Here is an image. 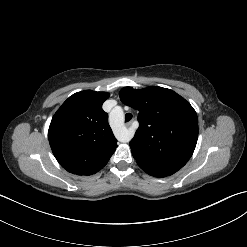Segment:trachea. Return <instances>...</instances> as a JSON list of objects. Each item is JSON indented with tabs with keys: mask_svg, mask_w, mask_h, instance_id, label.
Listing matches in <instances>:
<instances>
[{
	"mask_svg": "<svg viewBox=\"0 0 247 247\" xmlns=\"http://www.w3.org/2000/svg\"><path fill=\"white\" fill-rule=\"evenodd\" d=\"M132 119V114L131 113H127L126 115H125V122H128V121H130Z\"/></svg>",
	"mask_w": 247,
	"mask_h": 247,
	"instance_id": "1",
	"label": "trachea"
}]
</instances>
